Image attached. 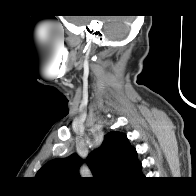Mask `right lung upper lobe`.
Returning <instances> with one entry per match:
<instances>
[{
    "label": "right lung upper lobe",
    "mask_w": 196,
    "mask_h": 196,
    "mask_svg": "<svg viewBox=\"0 0 196 196\" xmlns=\"http://www.w3.org/2000/svg\"><path fill=\"white\" fill-rule=\"evenodd\" d=\"M81 163V158L76 154L55 159L45 164L36 177L48 185H62L79 178ZM87 164L96 178L130 181L142 175V164L136 149L130 145L125 134L117 131L104 136L102 146L88 156Z\"/></svg>",
    "instance_id": "obj_1"
}]
</instances>
